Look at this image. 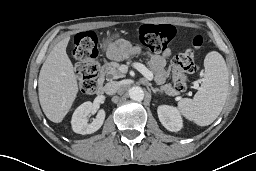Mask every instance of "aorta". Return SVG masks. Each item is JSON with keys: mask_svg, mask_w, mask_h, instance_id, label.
I'll return each instance as SVG.
<instances>
[{"mask_svg": "<svg viewBox=\"0 0 256 171\" xmlns=\"http://www.w3.org/2000/svg\"><path fill=\"white\" fill-rule=\"evenodd\" d=\"M129 96L134 101H142L144 99V91L139 86H134L129 90Z\"/></svg>", "mask_w": 256, "mask_h": 171, "instance_id": "aorta-1", "label": "aorta"}]
</instances>
